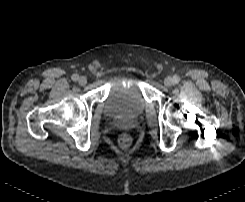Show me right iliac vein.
I'll return each instance as SVG.
<instances>
[{"mask_svg": "<svg viewBox=\"0 0 245 202\" xmlns=\"http://www.w3.org/2000/svg\"><path fill=\"white\" fill-rule=\"evenodd\" d=\"M80 85H85L87 83V78L85 76H80L78 79Z\"/></svg>", "mask_w": 245, "mask_h": 202, "instance_id": "63e3f726", "label": "right iliac vein"}]
</instances>
